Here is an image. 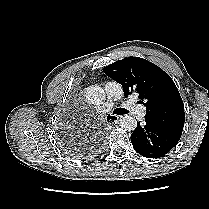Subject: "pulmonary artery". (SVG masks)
I'll return each mask as SVG.
<instances>
[{
    "instance_id": "pulmonary-artery-1",
    "label": "pulmonary artery",
    "mask_w": 209,
    "mask_h": 209,
    "mask_svg": "<svg viewBox=\"0 0 209 209\" xmlns=\"http://www.w3.org/2000/svg\"><path fill=\"white\" fill-rule=\"evenodd\" d=\"M105 92L107 95L106 102L99 108L100 112L104 113L109 111L116 102L120 101L123 96L121 86L113 81H109L105 84ZM123 106L128 108L132 114L135 116L142 118L144 117L146 110L144 106L137 105L131 101H124Z\"/></svg>"
}]
</instances>
